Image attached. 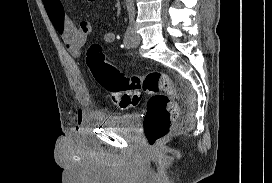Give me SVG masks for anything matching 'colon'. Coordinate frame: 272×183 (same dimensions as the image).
<instances>
[{
  "instance_id": "1",
  "label": "colon",
  "mask_w": 272,
  "mask_h": 183,
  "mask_svg": "<svg viewBox=\"0 0 272 183\" xmlns=\"http://www.w3.org/2000/svg\"><path fill=\"white\" fill-rule=\"evenodd\" d=\"M87 65L107 97L122 109L136 106L141 92L150 95L144 119V134L150 146L158 145L170 132L177 116L176 89L167 73L151 71L145 75H127L106 62L102 48L93 44Z\"/></svg>"
}]
</instances>
